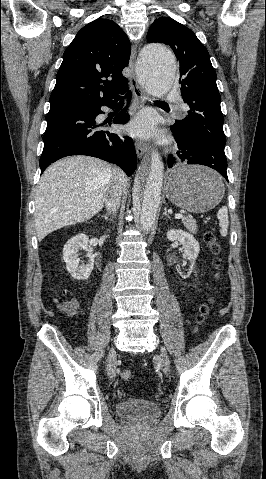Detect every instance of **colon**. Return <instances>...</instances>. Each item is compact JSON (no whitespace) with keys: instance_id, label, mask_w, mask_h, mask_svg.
I'll list each match as a JSON object with an SVG mask.
<instances>
[{"instance_id":"colon-1","label":"colon","mask_w":266,"mask_h":479,"mask_svg":"<svg viewBox=\"0 0 266 479\" xmlns=\"http://www.w3.org/2000/svg\"><path fill=\"white\" fill-rule=\"evenodd\" d=\"M205 241L207 242V244L210 245L211 250L213 251L214 254H217L219 252V246L216 243V237L212 232H210V231L206 232ZM219 263H220L219 259L215 258L214 259L215 266H218ZM207 312H208V306H207V304H203L200 307L199 314L196 317V320H197L198 323H201L203 321L204 316L207 314ZM120 377L123 380H129L132 377V373L129 369H124L120 372Z\"/></svg>"}]
</instances>
